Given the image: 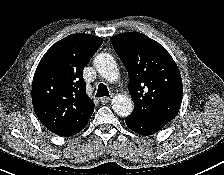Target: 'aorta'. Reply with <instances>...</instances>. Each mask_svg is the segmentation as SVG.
Returning a JSON list of instances; mask_svg holds the SVG:
<instances>
[{"label": "aorta", "instance_id": "obj_1", "mask_svg": "<svg viewBox=\"0 0 224 175\" xmlns=\"http://www.w3.org/2000/svg\"><path fill=\"white\" fill-rule=\"evenodd\" d=\"M94 64L100 75L113 82L119 78V70L115 59L106 53H100L95 57ZM113 111L121 117L129 116L133 111V102L130 97L117 94L111 101Z\"/></svg>", "mask_w": 224, "mask_h": 175}]
</instances>
